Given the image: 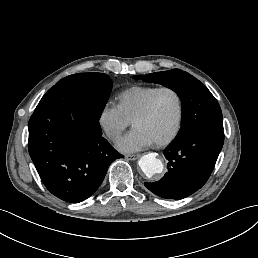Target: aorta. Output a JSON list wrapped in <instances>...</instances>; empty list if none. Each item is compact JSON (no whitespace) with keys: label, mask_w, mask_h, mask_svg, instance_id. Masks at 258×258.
I'll use <instances>...</instances> for the list:
<instances>
[{"label":"aorta","mask_w":258,"mask_h":258,"mask_svg":"<svg viewBox=\"0 0 258 258\" xmlns=\"http://www.w3.org/2000/svg\"><path fill=\"white\" fill-rule=\"evenodd\" d=\"M140 169L148 177L152 178L154 175L163 171L164 165L154 153H149L140 158L138 161Z\"/></svg>","instance_id":"762f6f07"}]
</instances>
